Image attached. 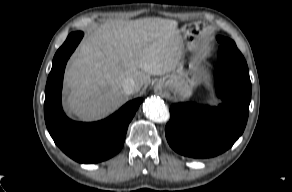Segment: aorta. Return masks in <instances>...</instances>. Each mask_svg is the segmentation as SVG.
<instances>
[{"label":"aorta","mask_w":292,"mask_h":192,"mask_svg":"<svg viewBox=\"0 0 292 192\" xmlns=\"http://www.w3.org/2000/svg\"><path fill=\"white\" fill-rule=\"evenodd\" d=\"M143 111L147 117L156 122H164L169 117L164 101L158 97L147 98L143 103Z\"/></svg>","instance_id":"aorta-1"}]
</instances>
